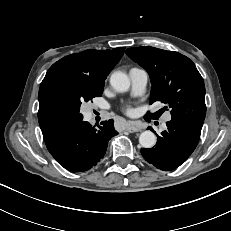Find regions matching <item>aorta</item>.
I'll use <instances>...</instances> for the list:
<instances>
[{"mask_svg": "<svg viewBox=\"0 0 231 231\" xmlns=\"http://www.w3.org/2000/svg\"><path fill=\"white\" fill-rule=\"evenodd\" d=\"M110 84L116 91L126 92L130 87V79L125 73L115 71L110 77ZM139 143L143 148H152L156 143V136L153 132L146 130L140 134Z\"/></svg>", "mask_w": 231, "mask_h": 231, "instance_id": "aorta-1", "label": "aorta"}]
</instances>
